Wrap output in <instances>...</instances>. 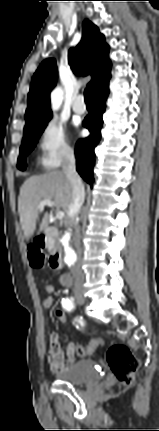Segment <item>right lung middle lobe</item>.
<instances>
[{
    "label": "right lung middle lobe",
    "mask_w": 159,
    "mask_h": 431,
    "mask_svg": "<svg viewBox=\"0 0 159 431\" xmlns=\"http://www.w3.org/2000/svg\"><path fill=\"white\" fill-rule=\"evenodd\" d=\"M50 119L40 123L39 125L27 129L24 131L23 141L20 147V156L18 158L17 167L20 170L26 169V156L33 150L35 147L40 135L44 131L47 126V122Z\"/></svg>",
    "instance_id": "dd1d6c3e"
}]
</instances>
